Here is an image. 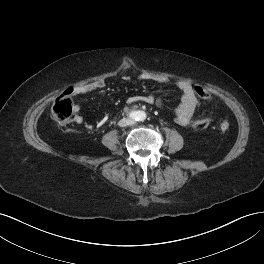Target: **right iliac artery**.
<instances>
[{
    "instance_id": "82829eb1",
    "label": "right iliac artery",
    "mask_w": 264,
    "mask_h": 264,
    "mask_svg": "<svg viewBox=\"0 0 264 264\" xmlns=\"http://www.w3.org/2000/svg\"><path fill=\"white\" fill-rule=\"evenodd\" d=\"M129 117L133 120H138L139 115L137 112L134 111V112L129 113Z\"/></svg>"
}]
</instances>
